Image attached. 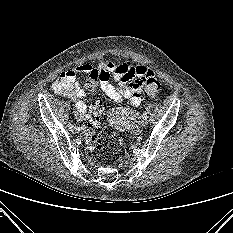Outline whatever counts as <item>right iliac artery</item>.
Masks as SVG:
<instances>
[{
  "label": "right iliac artery",
  "mask_w": 233,
  "mask_h": 233,
  "mask_svg": "<svg viewBox=\"0 0 233 233\" xmlns=\"http://www.w3.org/2000/svg\"><path fill=\"white\" fill-rule=\"evenodd\" d=\"M69 130H70V131H73V130H74V125L71 124V123L69 124Z\"/></svg>",
  "instance_id": "82829eb1"
}]
</instances>
